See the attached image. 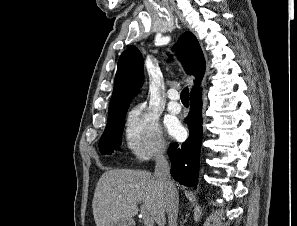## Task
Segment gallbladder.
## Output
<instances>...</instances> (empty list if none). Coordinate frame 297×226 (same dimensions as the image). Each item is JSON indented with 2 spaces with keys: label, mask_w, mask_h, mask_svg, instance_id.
Wrapping results in <instances>:
<instances>
[{
  "label": "gallbladder",
  "mask_w": 297,
  "mask_h": 226,
  "mask_svg": "<svg viewBox=\"0 0 297 226\" xmlns=\"http://www.w3.org/2000/svg\"><path fill=\"white\" fill-rule=\"evenodd\" d=\"M129 220L127 219H120L117 222H115L112 226H127V223Z\"/></svg>",
  "instance_id": "gallbladder-1"
}]
</instances>
